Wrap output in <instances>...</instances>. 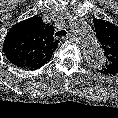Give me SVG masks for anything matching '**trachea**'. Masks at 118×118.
I'll return each mask as SVG.
<instances>
[{
	"mask_svg": "<svg viewBox=\"0 0 118 118\" xmlns=\"http://www.w3.org/2000/svg\"><path fill=\"white\" fill-rule=\"evenodd\" d=\"M67 32L65 30H60L55 33V36H66Z\"/></svg>",
	"mask_w": 118,
	"mask_h": 118,
	"instance_id": "obj_1",
	"label": "trachea"
}]
</instances>
